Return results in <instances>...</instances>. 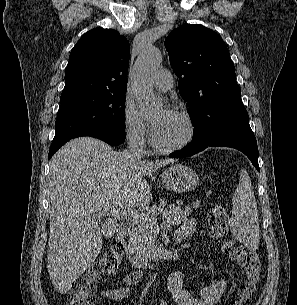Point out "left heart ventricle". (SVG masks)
<instances>
[{
	"instance_id": "1",
	"label": "left heart ventricle",
	"mask_w": 297,
	"mask_h": 305,
	"mask_svg": "<svg viewBox=\"0 0 297 305\" xmlns=\"http://www.w3.org/2000/svg\"><path fill=\"white\" fill-rule=\"evenodd\" d=\"M162 112L156 114L153 120ZM187 133V126L184 120L172 113L168 112L161 125L153 130L155 140L162 146H169L181 141Z\"/></svg>"
}]
</instances>
